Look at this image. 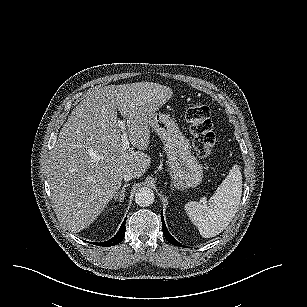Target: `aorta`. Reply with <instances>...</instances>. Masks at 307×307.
Listing matches in <instances>:
<instances>
[{
	"label": "aorta",
	"instance_id": "aorta-1",
	"mask_svg": "<svg viewBox=\"0 0 307 307\" xmlns=\"http://www.w3.org/2000/svg\"><path fill=\"white\" fill-rule=\"evenodd\" d=\"M135 201L141 207H148L155 201V195L151 188L141 187L135 193Z\"/></svg>",
	"mask_w": 307,
	"mask_h": 307
}]
</instances>
